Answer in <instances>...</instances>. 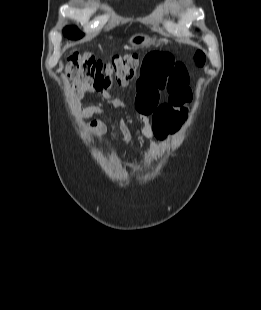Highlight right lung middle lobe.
<instances>
[{
	"label": "right lung middle lobe",
	"instance_id": "obj_1",
	"mask_svg": "<svg viewBox=\"0 0 261 310\" xmlns=\"http://www.w3.org/2000/svg\"><path fill=\"white\" fill-rule=\"evenodd\" d=\"M64 35L69 39H79L83 36L82 33L78 32L76 27H67L64 29Z\"/></svg>",
	"mask_w": 261,
	"mask_h": 310
}]
</instances>
